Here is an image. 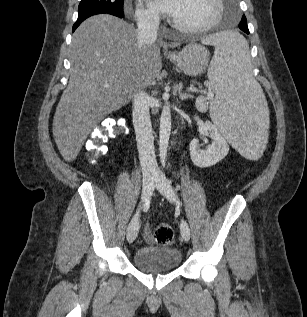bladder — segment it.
<instances>
[{
	"mask_svg": "<svg viewBox=\"0 0 307 317\" xmlns=\"http://www.w3.org/2000/svg\"><path fill=\"white\" fill-rule=\"evenodd\" d=\"M135 266L148 274L167 273L181 263V254L172 247H142L133 257Z\"/></svg>",
	"mask_w": 307,
	"mask_h": 317,
	"instance_id": "1",
	"label": "bladder"
}]
</instances>
